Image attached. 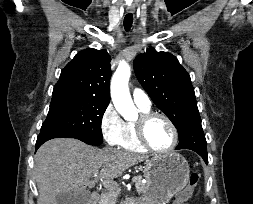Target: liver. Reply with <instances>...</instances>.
Returning <instances> with one entry per match:
<instances>
[{"instance_id": "liver-1", "label": "liver", "mask_w": 253, "mask_h": 204, "mask_svg": "<svg viewBox=\"0 0 253 204\" xmlns=\"http://www.w3.org/2000/svg\"><path fill=\"white\" fill-rule=\"evenodd\" d=\"M146 159L145 156L118 149H99L73 138L49 140L35 155L34 174L39 191L37 204H57L58 194L92 188L97 181L119 177L125 170ZM95 172L99 175L90 180Z\"/></svg>"}]
</instances>
